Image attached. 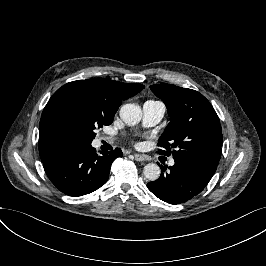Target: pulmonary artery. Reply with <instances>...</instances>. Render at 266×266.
Here are the masks:
<instances>
[{"label":"pulmonary artery","mask_w":266,"mask_h":266,"mask_svg":"<svg viewBox=\"0 0 266 266\" xmlns=\"http://www.w3.org/2000/svg\"><path fill=\"white\" fill-rule=\"evenodd\" d=\"M143 124L147 127H153L163 118L166 105L160 100L149 99L143 103ZM170 165L174 164V160L169 161Z\"/></svg>","instance_id":"1"}]
</instances>
